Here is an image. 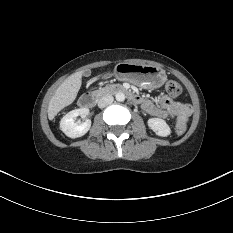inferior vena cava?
Instances as JSON below:
<instances>
[{
    "mask_svg": "<svg viewBox=\"0 0 233 233\" xmlns=\"http://www.w3.org/2000/svg\"><path fill=\"white\" fill-rule=\"evenodd\" d=\"M113 100H114L113 96H110V95L103 96L98 101V107L104 108L107 105L111 104Z\"/></svg>",
    "mask_w": 233,
    "mask_h": 233,
    "instance_id": "inferior-vena-cava-1",
    "label": "inferior vena cava"
}]
</instances>
